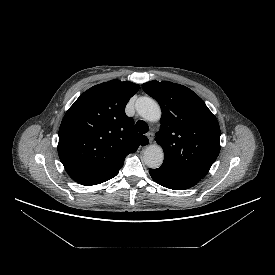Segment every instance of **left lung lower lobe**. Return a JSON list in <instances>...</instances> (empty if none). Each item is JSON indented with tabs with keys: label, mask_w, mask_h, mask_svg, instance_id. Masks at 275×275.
Segmentation results:
<instances>
[{
	"label": "left lung lower lobe",
	"mask_w": 275,
	"mask_h": 275,
	"mask_svg": "<svg viewBox=\"0 0 275 275\" xmlns=\"http://www.w3.org/2000/svg\"><path fill=\"white\" fill-rule=\"evenodd\" d=\"M149 173L155 182L173 190H185L191 188L200 180L192 175L165 165H162L157 169H150Z\"/></svg>",
	"instance_id": "obj_1"
}]
</instances>
